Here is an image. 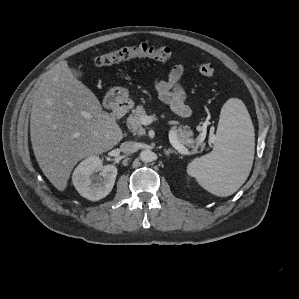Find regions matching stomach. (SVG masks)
<instances>
[{
	"label": "stomach",
	"mask_w": 299,
	"mask_h": 299,
	"mask_svg": "<svg viewBox=\"0 0 299 299\" xmlns=\"http://www.w3.org/2000/svg\"><path fill=\"white\" fill-rule=\"evenodd\" d=\"M108 96L111 97L113 99V104L115 106H118L120 104H124L126 102H128L129 98V92L127 89L124 88H112L109 93Z\"/></svg>",
	"instance_id": "1"
}]
</instances>
